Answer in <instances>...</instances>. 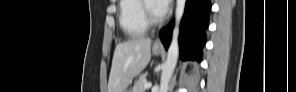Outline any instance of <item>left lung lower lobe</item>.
Wrapping results in <instances>:
<instances>
[{"label":"left lung lower lobe","mask_w":296,"mask_h":92,"mask_svg":"<svg viewBox=\"0 0 296 92\" xmlns=\"http://www.w3.org/2000/svg\"><path fill=\"white\" fill-rule=\"evenodd\" d=\"M210 0H187L181 21L179 37L180 57L183 60L200 61L202 46L205 42V29L208 25ZM174 21L161 30L160 36L166 49L171 41Z\"/></svg>","instance_id":"left-lung-lower-lobe-1"}]
</instances>
